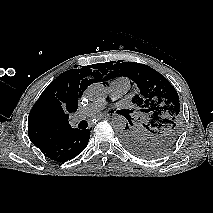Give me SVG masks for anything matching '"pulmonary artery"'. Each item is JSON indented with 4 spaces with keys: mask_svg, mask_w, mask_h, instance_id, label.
Returning a JSON list of instances; mask_svg holds the SVG:
<instances>
[{
    "mask_svg": "<svg viewBox=\"0 0 213 213\" xmlns=\"http://www.w3.org/2000/svg\"><path fill=\"white\" fill-rule=\"evenodd\" d=\"M130 89V81L127 78H116L109 83L108 94L109 100L113 101L120 98ZM107 104L106 100L92 103L86 107L80 109V111L74 116L73 122H77L80 119L86 118L88 116L94 115Z\"/></svg>",
    "mask_w": 213,
    "mask_h": 213,
    "instance_id": "e3ab8cb5",
    "label": "pulmonary artery"
}]
</instances>
